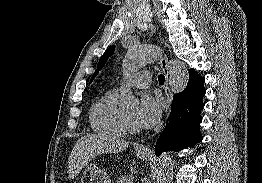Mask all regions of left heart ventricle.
Returning <instances> with one entry per match:
<instances>
[{"instance_id":"1","label":"left heart ventricle","mask_w":262,"mask_h":183,"mask_svg":"<svg viewBox=\"0 0 262 183\" xmlns=\"http://www.w3.org/2000/svg\"><path fill=\"white\" fill-rule=\"evenodd\" d=\"M137 113H138V110H137V109H133V110H131V111L126 112L127 117H128L133 123H135L136 125H137V123H136ZM137 126H138V125H137Z\"/></svg>"}]
</instances>
